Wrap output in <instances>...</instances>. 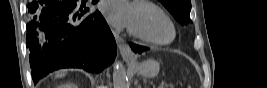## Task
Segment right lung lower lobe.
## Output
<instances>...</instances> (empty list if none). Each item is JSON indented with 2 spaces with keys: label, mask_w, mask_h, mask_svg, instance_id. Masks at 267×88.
Instances as JSON below:
<instances>
[{
  "label": "right lung lower lobe",
  "mask_w": 267,
  "mask_h": 88,
  "mask_svg": "<svg viewBox=\"0 0 267 88\" xmlns=\"http://www.w3.org/2000/svg\"><path fill=\"white\" fill-rule=\"evenodd\" d=\"M98 0H94L96 3ZM26 46L35 81L60 68L101 72L116 55L115 39L97 11H77L74 0H38L28 4Z\"/></svg>",
  "instance_id": "1"
}]
</instances>
